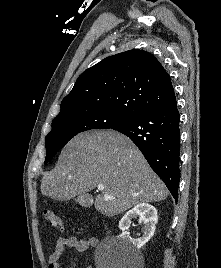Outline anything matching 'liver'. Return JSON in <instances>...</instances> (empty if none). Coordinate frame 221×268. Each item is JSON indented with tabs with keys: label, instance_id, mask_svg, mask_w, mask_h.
I'll list each match as a JSON object with an SVG mask.
<instances>
[{
	"label": "liver",
	"instance_id": "obj_1",
	"mask_svg": "<svg viewBox=\"0 0 221 268\" xmlns=\"http://www.w3.org/2000/svg\"><path fill=\"white\" fill-rule=\"evenodd\" d=\"M102 185L95 209L112 217L140 203L167 198L168 189L136 145L113 130L81 133L62 150L53 171L45 173L41 193L57 201L83 195ZM105 195L113 199H105ZM93 202V200H92Z\"/></svg>",
	"mask_w": 221,
	"mask_h": 268
}]
</instances>
